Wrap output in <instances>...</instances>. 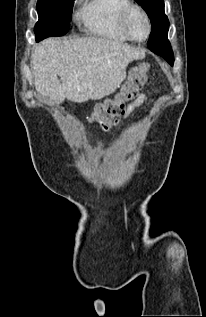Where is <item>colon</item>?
<instances>
[{"label": "colon", "mask_w": 206, "mask_h": 317, "mask_svg": "<svg viewBox=\"0 0 206 317\" xmlns=\"http://www.w3.org/2000/svg\"><path fill=\"white\" fill-rule=\"evenodd\" d=\"M148 69L147 63L134 66L119 92L95 107L91 121L105 131L115 125L124 114L126 102L135 98L146 84Z\"/></svg>", "instance_id": "obj_1"}]
</instances>
